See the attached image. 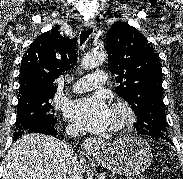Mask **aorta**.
<instances>
[{
    "label": "aorta",
    "mask_w": 183,
    "mask_h": 179,
    "mask_svg": "<svg viewBox=\"0 0 183 179\" xmlns=\"http://www.w3.org/2000/svg\"><path fill=\"white\" fill-rule=\"evenodd\" d=\"M107 55L104 50H94L87 53L82 59L84 69H91L99 66L106 59Z\"/></svg>",
    "instance_id": "obj_1"
}]
</instances>
